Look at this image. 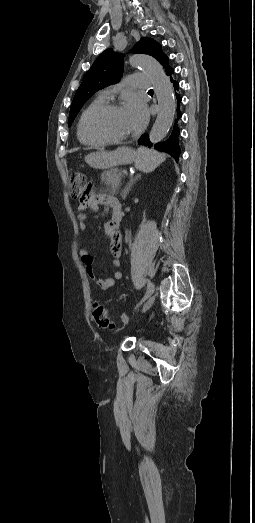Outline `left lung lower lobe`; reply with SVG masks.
I'll list each match as a JSON object with an SVG mask.
<instances>
[{"label": "left lung lower lobe", "mask_w": 255, "mask_h": 523, "mask_svg": "<svg viewBox=\"0 0 255 523\" xmlns=\"http://www.w3.org/2000/svg\"><path fill=\"white\" fill-rule=\"evenodd\" d=\"M169 82L172 83V88H174V91H179L180 85L178 80H175L174 77H169ZM173 97H175L177 116L176 120H174V124L172 125V129H170V137H166L165 141H162L161 139L150 141L152 140V137H140V140H138V145H141V147L149 145V148H154L155 146L158 148V153L161 154L172 153V161L177 162L181 161V156L179 154L180 148L177 137V135L181 133V130L179 129L177 121H179V119H183L182 109H179V105L182 103V97H180L178 94H173ZM146 134H151V129H146Z\"/></svg>", "instance_id": "obj_1"}]
</instances>
